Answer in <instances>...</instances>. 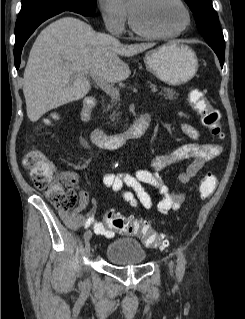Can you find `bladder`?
<instances>
[{
    "instance_id": "31cf9c89",
    "label": "bladder",
    "mask_w": 245,
    "mask_h": 319,
    "mask_svg": "<svg viewBox=\"0 0 245 319\" xmlns=\"http://www.w3.org/2000/svg\"><path fill=\"white\" fill-rule=\"evenodd\" d=\"M105 258L122 265L140 264L146 260V252L134 238H115L106 247Z\"/></svg>"
}]
</instances>
